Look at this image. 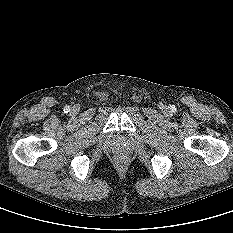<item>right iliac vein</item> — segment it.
Here are the masks:
<instances>
[{"instance_id": "63e3f726", "label": "right iliac vein", "mask_w": 233, "mask_h": 233, "mask_svg": "<svg viewBox=\"0 0 233 233\" xmlns=\"http://www.w3.org/2000/svg\"><path fill=\"white\" fill-rule=\"evenodd\" d=\"M77 111H78V107L74 106V107L72 108V113H76Z\"/></svg>"}]
</instances>
